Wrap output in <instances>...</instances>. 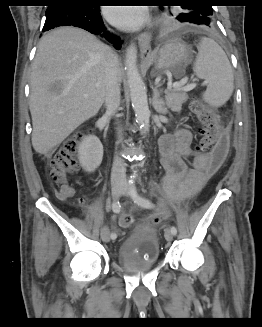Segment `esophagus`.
I'll use <instances>...</instances> for the list:
<instances>
[{"mask_svg":"<svg viewBox=\"0 0 262 327\" xmlns=\"http://www.w3.org/2000/svg\"><path fill=\"white\" fill-rule=\"evenodd\" d=\"M151 38H152V36L148 32L142 33L139 35L138 41H139L141 55H143V56L151 55V53H152Z\"/></svg>","mask_w":262,"mask_h":327,"instance_id":"1","label":"esophagus"}]
</instances>
